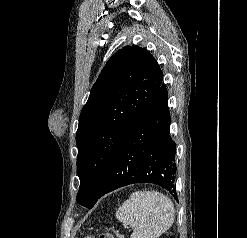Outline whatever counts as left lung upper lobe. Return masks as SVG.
Here are the masks:
<instances>
[{
	"mask_svg": "<svg viewBox=\"0 0 247 238\" xmlns=\"http://www.w3.org/2000/svg\"><path fill=\"white\" fill-rule=\"evenodd\" d=\"M163 80L149 53L125 46L106 63L83 107L76 134L77 201L92 208L114 156L147 111Z\"/></svg>",
	"mask_w": 247,
	"mask_h": 238,
	"instance_id": "left-lung-upper-lobe-1",
	"label": "left lung upper lobe"
}]
</instances>
